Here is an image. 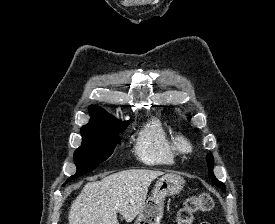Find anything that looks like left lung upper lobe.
I'll list each match as a JSON object with an SVG mask.
<instances>
[{
    "label": "left lung upper lobe",
    "instance_id": "left-lung-upper-lobe-1",
    "mask_svg": "<svg viewBox=\"0 0 275 224\" xmlns=\"http://www.w3.org/2000/svg\"><path fill=\"white\" fill-rule=\"evenodd\" d=\"M207 161H208V167H209V177L211 178L212 182L219 188H221L223 191H225V185L220 182L218 179H216V177L214 176L213 173V156L212 154H208L206 157Z\"/></svg>",
    "mask_w": 275,
    "mask_h": 224
}]
</instances>
